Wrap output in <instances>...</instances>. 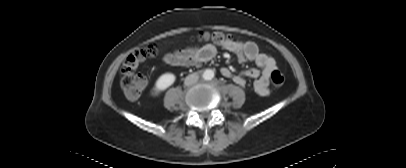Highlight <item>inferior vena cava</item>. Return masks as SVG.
Segmentation results:
<instances>
[{
    "label": "inferior vena cava",
    "mask_w": 406,
    "mask_h": 168,
    "mask_svg": "<svg viewBox=\"0 0 406 168\" xmlns=\"http://www.w3.org/2000/svg\"><path fill=\"white\" fill-rule=\"evenodd\" d=\"M199 79V76L197 74H190L185 78V85L189 86L192 85L194 83H196Z\"/></svg>",
    "instance_id": "obj_1"
}]
</instances>
